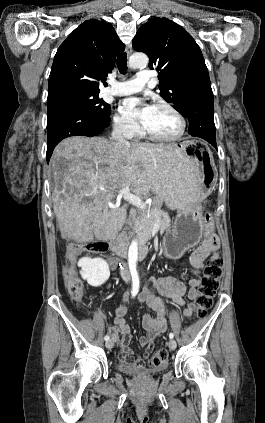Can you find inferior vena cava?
I'll return each instance as SVG.
<instances>
[{
  "label": "inferior vena cava",
  "instance_id": "602c4592",
  "mask_svg": "<svg viewBox=\"0 0 265 423\" xmlns=\"http://www.w3.org/2000/svg\"><path fill=\"white\" fill-rule=\"evenodd\" d=\"M112 139L118 144L129 145V142L123 136V130L121 126H116L112 131ZM120 275L124 280L130 279V273L125 263H122L120 268Z\"/></svg>",
  "mask_w": 265,
  "mask_h": 423
}]
</instances>
